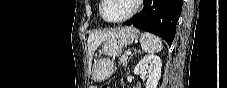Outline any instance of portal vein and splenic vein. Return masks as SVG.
Wrapping results in <instances>:
<instances>
[{
	"label": "portal vein and splenic vein",
	"instance_id": "obj_1",
	"mask_svg": "<svg viewBox=\"0 0 227 88\" xmlns=\"http://www.w3.org/2000/svg\"><path fill=\"white\" fill-rule=\"evenodd\" d=\"M126 55H127V56L131 55V52H130V51H127V52H126Z\"/></svg>",
	"mask_w": 227,
	"mask_h": 88
}]
</instances>
